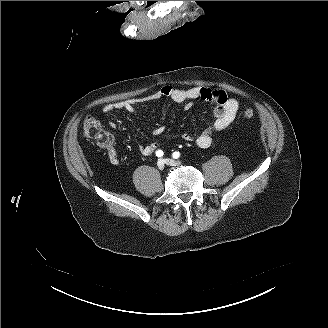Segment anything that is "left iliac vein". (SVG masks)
I'll list each match as a JSON object with an SVG mask.
<instances>
[{
    "mask_svg": "<svg viewBox=\"0 0 328 328\" xmlns=\"http://www.w3.org/2000/svg\"><path fill=\"white\" fill-rule=\"evenodd\" d=\"M164 162L169 166H179V165H181V161L174 160V159H169V158L164 159Z\"/></svg>",
    "mask_w": 328,
    "mask_h": 328,
    "instance_id": "obj_1",
    "label": "left iliac vein"
}]
</instances>
